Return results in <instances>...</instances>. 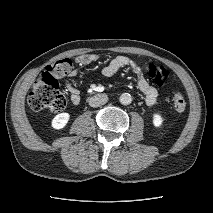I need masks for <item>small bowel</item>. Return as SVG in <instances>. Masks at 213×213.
Returning a JSON list of instances; mask_svg holds the SVG:
<instances>
[{
	"mask_svg": "<svg viewBox=\"0 0 213 213\" xmlns=\"http://www.w3.org/2000/svg\"><path fill=\"white\" fill-rule=\"evenodd\" d=\"M98 60L96 54H83L75 58V63L80 67H86ZM129 68L133 71L137 78V85L139 90L145 97V102L148 106H153L158 99V91L152 86L145 78L142 68L137 64L136 61L127 56H117L112 59L108 65L102 69V74L105 77H111L115 75L120 69ZM79 73L78 69H73L69 72V76L75 77ZM67 91L70 94L72 103L78 104L80 102V92L71 83L66 84Z\"/></svg>",
	"mask_w": 213,
	"mask_h": 213,
	"instance_id": "small-bowel-1",
	"label": "small bowel"
}]
</instances>
